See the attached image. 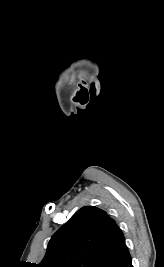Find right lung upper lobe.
<instances>
[{
	"mask_svg": "<svg viewBox=\"0 0 164 267\" xmlns=\"http://www.w3.org/2000/svg\"><path fill=\"white\" fill-rule=\"evenodd\" d=\"M124 246L116 222L105 211L85 206L52 236L39 267H99Z\"/></svg>",
	"mask_w": 164,
	"mask_h": 267,
	"instance_id": "1",
	"label": "right lung upper lobe"
}]
</instances>
